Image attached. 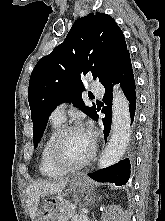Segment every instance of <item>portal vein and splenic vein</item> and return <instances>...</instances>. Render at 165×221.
I'll use <instances>...</instances> for the list:
<instances>
[{"instance_id": "1", "label": "portal vein and splenic vein", "mask_w": 165, "mask_h": 221, "mask_svg": "<svg viewBox=\"0 0 165 221\" xmlns=\"http://www.w3.org/2000/svg\"><path fill=\"white\" fill-rule=\"evenodd\" d=\"M69 207H70L71 209H73V210L75 209V205H74V204H72V203H71V204H69Z\"/></svg>"}]
</instances>
